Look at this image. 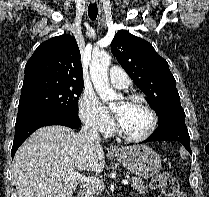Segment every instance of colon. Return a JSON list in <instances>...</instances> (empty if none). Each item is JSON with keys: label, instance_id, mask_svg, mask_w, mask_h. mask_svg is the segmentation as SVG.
<instances>
[{"label": "colon", "instance_id": "colon-1", "mask_svg": "<svg viewBox=\"0 0 209 197\" xmlns=\"http://www.w3.org/2000/svg\"><path fill=\"white\" fill-rule=\"evenodd\" d=\"M152 187L161 189L166 197H187L180 189L178 180L166 173L158 174L152 180Z\"/></svg>", "mask_w": 209, "mask_h": 197}]
</instances>
